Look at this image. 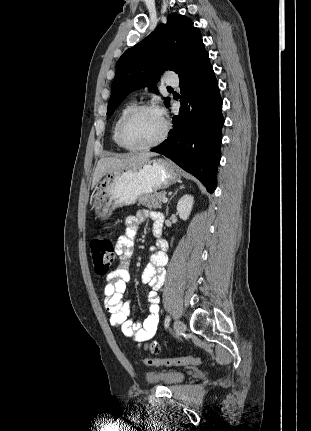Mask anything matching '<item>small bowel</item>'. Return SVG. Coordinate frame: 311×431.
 Here are the masks:
<instances>
[{"mask_svg": "<svg viewBox=\"0 0 311 431\" xmlns=\"http://www.w3.org/2000/svg\"><path fill=\"white\" fill-rule=\"evenodd\" d=\"M147 220L152 221V232L157 241L152 248L149 262L142 273L143 283L149 286L147 300L149 315L141 322L134 323L130 319L131 303L123 298L127 283L130 281L129 260L133 253L134 240L139 226ZM164 224L162 213L150 210H140L135 215L126 218L124 234L116 243L115 251L119 257L117 268L107 276V283L103 290V303L110 314V323L119 328L126 337L137 342H144L153 338L159 323V294L158 291L164 281V267L168 256V243L161 238Z\"/></svg>", "mask_w": 311, "mask_h": 431, "instance_id": "c3829d8e", "label": "small bowel"}]
</instances>
